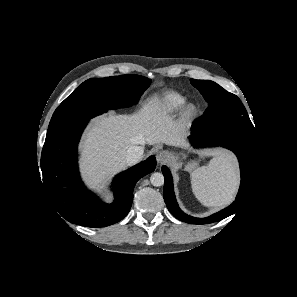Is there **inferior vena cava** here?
<instances>
[{
  "label": "inferior vena cava",
  "instance_id": "obj_1",
  "mask_svg": "<svg viewBox=\"0 0 297 297\" xmlns=\"http://www.w3.org/2000/svg\"><path fill=\"white\" fill-rule=\"evenodd\" d=\"M144 153V148L141 146H133L131 147L126 155V163L127 165H133L141 160Z\"/></svg>",
  "mask_w": 297,
  "mask_h": 297
}]
</instances>
